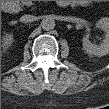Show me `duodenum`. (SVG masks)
<instances>
[{"label":"duodenum","mask_w":109,"mask_h":109,"mask_svg":"<svg viewBox=\"0 0 109 109\" xmlns=\"http://www.w3.org/2000/svg\"><path fill=\"white\" fill-rule=\"evenodd\" d=\"M61 5L62 6H67V3L63 2V3H61ZM2 8L5 11H10L12 9V5H11V3L5 2V3L2 4Z\"/></svg>","instance_id":"410a0bca"}]
</instances>
